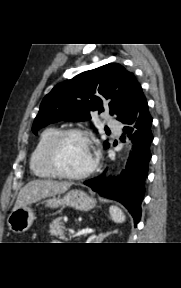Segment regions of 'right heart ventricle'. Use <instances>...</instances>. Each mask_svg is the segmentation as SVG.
Masks as SVG:
<instances>
[{"label":"right heart ventricle","instance_id":"right-heart-ventricle-1","mask_svg":"<svg viewBox=\"0 0 181 288\" xmlns=\"http://www.w3.org/2000/svg\"><path fill=\"white\" fill-rule=\"evenodd\" d=\"M57 132L58 129L53 127L45 129L31 154L30 169L32 173L40 179H54L58 177V175L51 170L46 159L48 146Z\"/></svg>","mask_w":181,"mask_h":288}]
</instances>
